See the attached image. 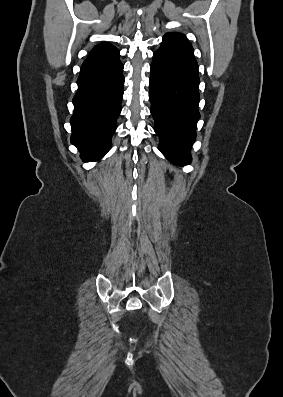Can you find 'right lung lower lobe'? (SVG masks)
<instances>
[{"label": "right lung lower lobe", "instance_id": "1", "mask_svg": "<svg viewBox=\"0 0 283 397\" xmlns=\"http://www.w3.org/2000/svg\"><path fill=\"white\" fill-rule=\"evenodd\" d=\"M122 71L119 57L81 68L78 91L72 100L75 109L70 119L71 143L86 162L101 159L111 147L121 112L125 81Z\"/></svg>", "mask_w": 283, "mask_h": 397}]
</instances>
